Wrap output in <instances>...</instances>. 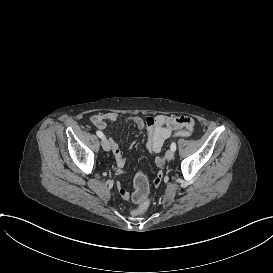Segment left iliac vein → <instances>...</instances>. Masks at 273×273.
Instances as JSON below:
<instances>
[{"mask_svg":"<svg viewBox=\"0 0 273 273\" xmlns=\"http://www.w3.org/2000/svg\"><path fill=\"white\" fill-rule=\"evenodd\" d=\"M165 157L167 160H172L174 158V151L173 150H168L165 154Z\"/></svg>","mask_w":273,"mask_h":273,"instance_id":"4c4485c4","label":"left iliac vein"}]
</instances>
